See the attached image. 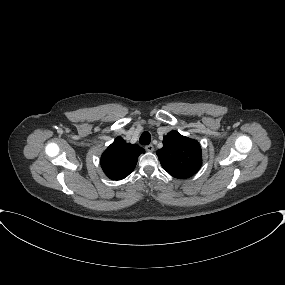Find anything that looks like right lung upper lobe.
I'll return each instance as SVG.
<instances>
[{
  "label": "right lung upper lobe",
  "instance_id": "1",
  "mask_svg": "<svg viewBox=\"0 0 285 285\" xmlns=\"http://www.w3.org/2000/svg\"><path fill=\"white\" fill-rule=\"evenodd\" d=\"M144 152L138 145L126 143L123 138L117 137L103 152L101 167L110 179H124L134 170L139 155Z\"/></svg>",
  "mask_w": 285,
  "mask_h": 285
}]
</instances>
